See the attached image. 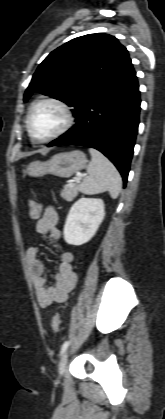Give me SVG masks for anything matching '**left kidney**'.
<instances>
[{"label": "left kidney", "instance_id": "1", "mask_svg": "<svg viewBox=\"0 0 165 419\" xmlns=\"http://www.w3.org/2000/svg\"><path fill=\"white\" fill-rule=\"evenodd\" d=\"M105 216L104 202L98 198L82 197L71 207L63 235L71 245L87 243L96 233Z\"/></svg>", "mask_w": 165, "mask_h": 419}]
</instances>
